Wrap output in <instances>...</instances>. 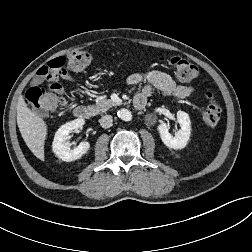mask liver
<instances>
[{"instance_id": "6515ba94", "label": "liver", "mask_w": 252, "mask_h": 252, "mask_svg": "<svg viewBox=\"0 0 252 252\" xmlns=\"http://www.w3.org/2000/svg\"><path fill=\"white\" fill-rule=\"evenodd\" d=\"M17 125L30 151L44 161L47 125L35 111L28 108L23 96H20L17 103Z\"/></svg>"}]
</instances>
